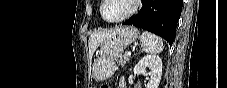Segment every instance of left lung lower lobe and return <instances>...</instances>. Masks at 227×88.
I'll list each match as a JSON object with an SVG mask.
<instances>
[{
    "instance_id": "obj_1",
    "label": "left lung lower lobe",
    "mask_w": 227,
    "mask_h": 88,
    "mask_svg": "<svg viewBox=\"0 0 227 88\" xmlns=\"http://www.w3.org/2000/svg\"><path fill=\"white\" fill-rule=\"evenodd\" d=\"M142 2L143 6L139 13L123 24L151 31L163 37L171 46L183 0H142Z\"/></svg>"
}]
</instances>
